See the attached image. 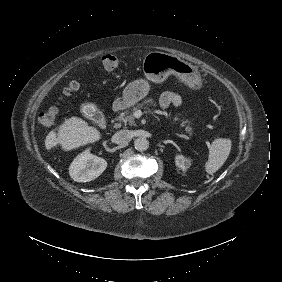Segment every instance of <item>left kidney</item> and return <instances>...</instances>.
Returning a JSON list of instances; mask_svg holds the SVG:
<instances>
[{
	"label": "left kidney",
	"instance_id": "1",
	"mask_svg": "<svg viewBox=\"0 0 282 282\" xmlns=\"http://www.w3.org/2000/svg\"><path fill=\"white\" fill-rule=\"evenodd\" d=\"M175 165L180 168L183 172H186L191 166V160L184 157L183 155L175 156Z\"/></svg>",
	"mask_w": 282,
	"mask_h": 282
}]
</instances>
